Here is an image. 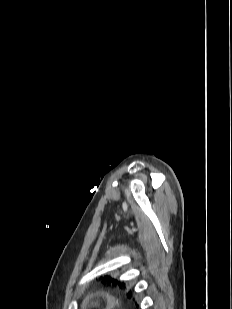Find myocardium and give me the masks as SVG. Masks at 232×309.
Segmentation results:
<instances>
[{
	"mask_svg": "<svg viewBox=\"0 0 232 309\" xmlns=\"http://www.w3.org/2000/svg\"><path fill=\"white\" fill-rule=\"evenodd\" d=\"M101 305V300L97 296H92L88 300V306L90 309H97Z\"/></svg>",
	"mask_w": 232,
	"mask_h": 309,
	"instance_id": "myocardium-1",
	"label": "myocardium"
}]
</instances>
